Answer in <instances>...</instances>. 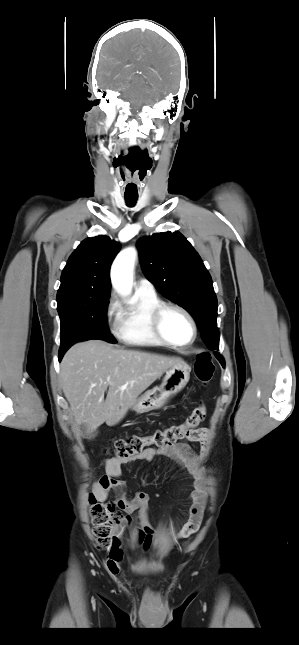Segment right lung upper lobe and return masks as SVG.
Returning a JSON list of instances; mask_svg holds the SVG:
<instances>
[{"label": "right lung upper lobe", "instance_id": "cb5924a9", "mask_svg": "<svg viewBox=\"0 0 299 645\" xmlns=\"http://www.w3.org/2000/svg\"><path fill=\"white\" fill-rule=\"evenodd\" d=\"M120 243L99 235L81 242L61 275L57 303L77 297L110 295V266Z\"/></svg>", "mask_w": 299, "mask_h": 645}]
</instances>
